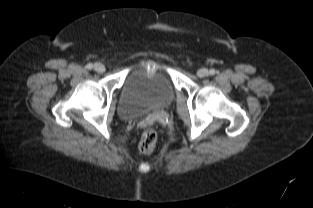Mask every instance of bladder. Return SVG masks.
Instances as JSON below:
<instances>
[{
  "mask_svg": "<svg viewBox=\"0 0 313 208\" xmlns=\"http://www.w3.org/2000/svg\"><path fill=\"white\" fill-rule=\"evenodd\" d=\"M174 91L166 73L135 68L123 83L117 113L123 118H134L161 109L172 101Z\"/></svg>",
  "mask_w": 313,
  "mask_h": 208,
  "instance_id": "bladder-1",
  "label": "bladder"
}]
</instances>
